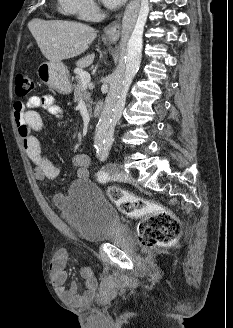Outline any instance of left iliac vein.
Wrapping results in <instances>:
<instances>
[{"instance_id": "obj_1", "label": "left iliac vein", "mask_w": 233, "mask_h": 328, "mask_svg": "<svg viewBox=\"0 0 233 328\" xmlns=\"http://www.w3.org/2000/svg\"><path fill=\"white\" fill-rule=\"evenodd\" d=\"M116 178L119 181H122V182H125V183H130V184H133V185H137L136 179L133 178L127 170L120 169L119 171H117Z\"/></svg>"}]
</instances>
